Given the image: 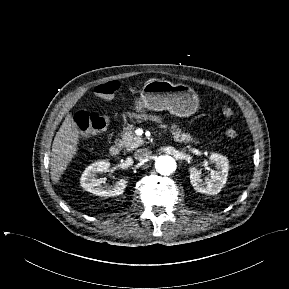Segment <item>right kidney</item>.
<instances>
[{
    "instance_id": "ca27d5eb",
    "label": "right kidney",
    "mask_w": 289,
    "mask_h": 289,
    "mask_svg": "<svg viewBox=\"0 0 289 289\" xmlns=\"http://www.w3.org/2000/svg\"><path fill=\"white\" fill-rule=\"evenodd\" d=\"M110 167L108 160L97 161L88 166L83 172L80 184L88 192L101 197H113L120 195L126 188V179H121L115 185L104 187L102 179L97 178V173L106 172Z\"/></svg>"
}]
</instances>
